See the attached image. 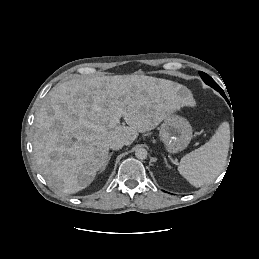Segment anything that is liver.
Instances as JSON below:
<instances>
[{"mask_svg": "<svg viewBox=\"0 0 259 259\" xmlns=\"http://www.w3.org/2000/svg\"><path fill=\"white\" fill-rule=\"evenodd\" d=\"M182 89L170 80L136 74L79 76L57 84L34 122L33 150L41 174L63 193L85 189L105 164L111 140L129 146L138 133L155 129L175 110L195 105ZM120 108L128 126L109 128Z\"/></svg>", "mask_w": 259, "mask_h": 259, "instance_id": "obj_1", "label": "liver"}]
</instances>
